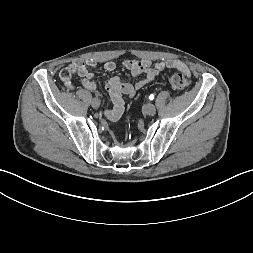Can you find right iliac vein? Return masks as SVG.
I'll return each instance as SVG.
<instances>
[{
    "instance_id": "right-iliac-vein-1",
    "label": "right iliac vein",
    "mask_w": 253,
    "mask_h": 253,
    "mask_svg": "<svg viewBox=\"0 0 253 253\" xmlns=\"http://www.w3.org/2000/svg\"><path fill=\"white\" fill-rule=\"evenodd\" d=\"M91 106L94 108V109H98L99 106H100V101L99 99L97 98H94L91 102Z\"/></svg>"
}]
</instances>
